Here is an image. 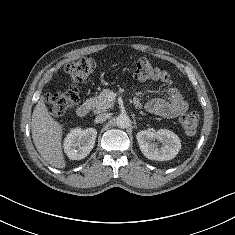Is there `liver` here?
<instances>
[{"instance_id":"6515ba94","label":"liver","mask_w":235,"mask_h":235,"mask_svg":"<svg viewBox=\"0 0 235 235\" xmlns=\"http://www.w3.org/2000/svg\"><path fill=\"white\" fill-rule=\"evenodd\" d=\"M32 138L42 158L51 166L64 168L66 162L62 153L63 127L49 114L41 97L32 113Z\"/></svg>"}]
</instances>
